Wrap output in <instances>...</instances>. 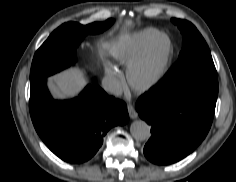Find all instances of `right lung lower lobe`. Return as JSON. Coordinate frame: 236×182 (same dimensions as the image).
Instances as JSON below:
<instances>
[{"label": "right lung lower lobe", "instance_id": "obj_1", "mask_svg": "<svg viewBox=\"0 0 236 182\" xmlns=\"http://www.w3.org/2000/svg\"><path fill=\"white\" fill-rule=\"evenodd\" d=\"M30 115L46 146L60 159L82 163L93 157L108 130L128 122L126 104L88 85L72 100H54L46 78L30 82Z\"/></svg>", "mask_w": 236, "mask_h": 182}]
</instances>
